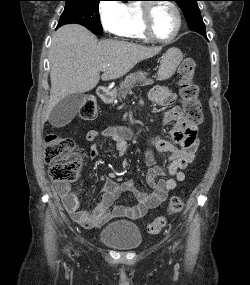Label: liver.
Listing matches in <instances>:
<instances>
[{"label":"liver","instance_id":"6515ba94","mask_svg":"<svg viewBox=\"0 0 250 285\" xmlns=\"http://www.w3.org/2000/svg\"><path fill=\"white\" fill-rule=\"evenodd\" d=\"M160 51L161 47L126 41H98L81 25L62 26L54 33L49 51L51 90L44 120L63 98L94 89L102 67L109 64L101 76L103 81L120 78L137 63Z\"/></svg>","mask_w":250,"mask_h":285}]
</instances>
